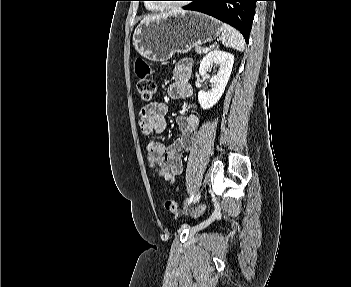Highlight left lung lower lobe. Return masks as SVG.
<instances>
[{
	"instance_id": "left-lung-lower-lobe-1",
	"label": "left lung lower lobe",
	"mask_w": 351,
	"mask_h": 287,
	"mask_svg": "<svg viewBox=\"0 0 351 287\" xmlns=\"http://www.w3.org/2000/svg\"><path fill=\"white\" fill-rule=\"evenodd\" d=\"M186 10H194L211 15L236 27L248 42L258 0H191Z\"/></svg>"
}]
</instances>
